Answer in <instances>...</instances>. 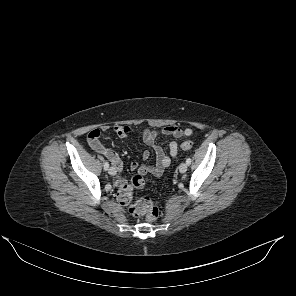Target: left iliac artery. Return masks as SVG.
<instances>
[{
  "mask_svg": "<svg viewBox=\"0 0 296 296\" xmlns=\"http://www.w3.org/2000/svg\"><path fill=\"white\" fill-rule=\"evenodd\" d=\"M186 163H187V165H190L191 164V158H187Z\"/></svg>",
  "mask_w": 296,
  "mask_h": 296,
  "instance_id": "obj_1",
  "label": "left iliac artery"
}]
</instances>
